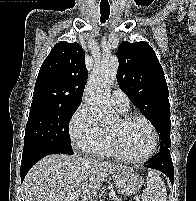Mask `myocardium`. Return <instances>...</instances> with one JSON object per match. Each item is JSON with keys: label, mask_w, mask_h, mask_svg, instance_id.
I'll return each mask as SVG.
<instances>
[{"label": "myocardium", "mask_w": 196, "mask_h": 201, "mask_svg": "<svg viewBox=\"0 0 196 201\" xmlns=\"http://www.w3.org/2000/svg\"><path fill=\"white\" fill-rule=\"evenodd\" d=\"M121 125H127L134 121H142L150 128L152 133V146L150 150L141 157L130 155L122 145L120 135L117 131L110 130L111 139L117 154L126 161L132 163H144L148 161L156 152L159 142V136L155 125L147 117L142 115H124L119 118Z\"/></svg>", "instance_id": "myocardium-1"}]
</instances>
